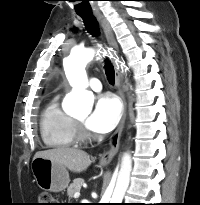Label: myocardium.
<instances>
[{
    "instance_id": "myocardium-1",
    "label": "myocardium",
    "mask_w": 200,
    "mask_h": 205,
    "mask_svg": "<svg viewBox=\"0 0 200 205\" xmlns=\"http://www.w3.org/2000/svg\"><path fill=\"white\" fill-rule=\"evenodd\" d=\"M75 126V135L78 140L85 141L91 138L90 133L87 131L84 123L80 120L73 119Z\"/></svg>"
}]
</instances>
